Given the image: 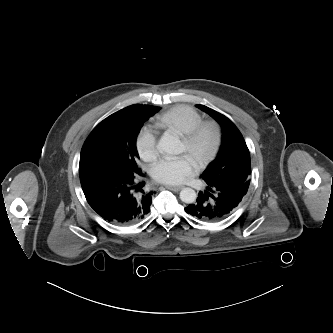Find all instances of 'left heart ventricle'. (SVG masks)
<instances>
[{
    "mask_svg": "<svg viewBox=\"0 0 333 333\" xmlns=\"http://www.w3.org/2000/svg\"><path fill=\"white\" fill-rule=\"evenodd\" d=\"M213 143V134L211 131H205L200 137L194 150H189L185 142L181 141L180 153L187 154L196 164L200 157L205 156L211 149Z\"/></svg>",
    "mask_w": 333,
    "mask_h": 333,
    "instance_id": "obj_1",
    "label": "left heart ventricle"
}]
</instances>
